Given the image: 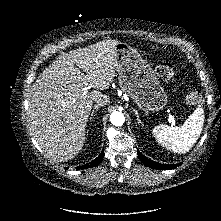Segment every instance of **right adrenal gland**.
<instances>
[{
  "mask_svg": "<svg viewBox=\"0 0 221 221\" xmlns=\"http://www.w3.org/2000/svg\"><path fill=\"white\" fill-rule=\"evenodd\" d=\"M101 106L100 105H95L90 113V121H92L93 114L95 111H97Z\"/></svg>",
  "mask_w": 221,
  "mask_h": 221,
  "instance_id": "1",
  "label": "right adrenal gland"
}]
</instances>
